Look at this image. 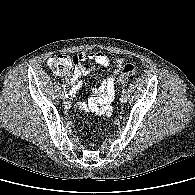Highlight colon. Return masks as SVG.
Here are the masks:
<instances>
[{"label":"colon","instance_id":"1","mask_svg":"<svg viewBox=\"0 0 195 195\" xmlns=\"http://www.w3.org/2000/svg\"><path fill=\"white\" fill-rule=\"evenodd\" d=\"M49 66L58 76L66 75L72 65V59L63 54H57L52 56L48 61ZM136 73V68L132 64H126L123 67L122 74L119 78L120 82H125L129 76Z\"/></svg>","mask_w":195,"mask_h":195}]
</instances>
